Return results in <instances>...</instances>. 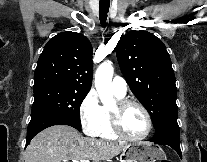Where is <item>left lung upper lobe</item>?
<instances>
[{"mask_svg": "<svg viewBox=\"0 0 207 162\" xmlns=\"http://www.w3.org/2000/svg\"><path fill=\"white\" fill-rule=\"evenodd\" d=\"M116 53L127 83L147 109L155 129L177 121L175 75L163 42L147 31H130Z\"/></svg>", "mask_w": 207, "mask_h": 162, "instance_id": "5c2ea615", "label": "left lung upper lobe"}]
</instances>
